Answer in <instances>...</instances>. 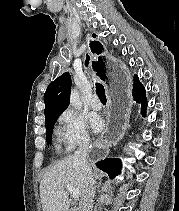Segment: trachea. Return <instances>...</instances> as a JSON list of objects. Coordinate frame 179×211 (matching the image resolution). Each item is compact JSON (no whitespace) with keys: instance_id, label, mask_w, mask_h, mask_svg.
I'll return each instance as SVG.
<instances>
[{"instance_id":"1","label":"trachea","mask_w":179,"mask_h":211,"mask_svg":"<svg viewBox=\"0 0 179 211\" xmlns=\"http://www.w3.org/2000/svg\"><path fill=\"white\" fill-rule=\"evenodd\" d=\"M96 94L98 95V97L101 101L106 100L104 87L100 83L96 84Z\"/></svg>"}]
</instances>
